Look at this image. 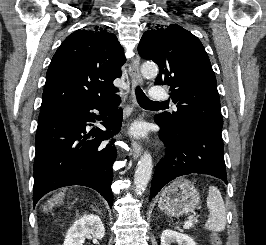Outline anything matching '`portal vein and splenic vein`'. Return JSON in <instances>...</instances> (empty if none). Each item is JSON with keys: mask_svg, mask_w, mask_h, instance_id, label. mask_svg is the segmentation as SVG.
I'll return each mask as SVG.
<instances>
[{"mask_svg": "<svg viewBox=\"0 0 266 245\" xmlns=\"http://www.w3.org/2000/svg\"><path fill=\"white\" fill-rule=\"evenodd\" d=\"M193 225V221H187V223H185L183 229H190V227H192Z\"/></svg>", "mask_w": 266, "mask_h": 245, "instance_id": "obj_1", "label": "portal vein and splenic vein"}]
</instances>
